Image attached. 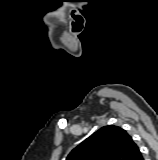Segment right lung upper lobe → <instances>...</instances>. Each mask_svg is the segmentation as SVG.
Here are the masks:
<instances>
[{"mask_svg":"<svg viewBox=\"0 0 158 160\" xmlns=\"http://www.w3.org/2000/svg\"><path fill=\"white\" fill-rule=\"evenodd\" d=\"M140 155L138 146L125 130L109 125L74 148L66 160H137Z\"/></svg>","mask_w":158,"mask_h":160,"instance_id":"obj_1","label":"right lung upper lobe"}]
</instances>
